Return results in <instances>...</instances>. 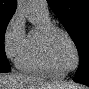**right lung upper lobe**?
Listing matches in <instances>:
<instances>
[{
	"mask_svg": "<svg viewBox=\"0 0 89 89\" xmlns=\"http://www.w3.org/2000/svg\"><path fill=\"white\" fill-rule=\"evenodd\" d=\"M17 0H0V13L14 14Z\"/></svg>",
	"mask_w": 89,
	"mask_h": 89,
	"instance_id": "cb5924a9",
	"label": "right lung upper lobe"
}]
</instances>
